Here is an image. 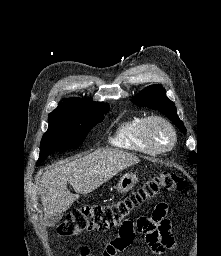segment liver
Here are the masks:
<instances>
[{"instance_id": "1", "label": "liver", "mask_w": 221, "mask_h": 256, "mask_svg": "<svg viewBox=\"0 0 221 256\" xmlns=\"http://www.w3.org/2000/svg\"><path fill=\"white\" fill-rule=\"evenodd\" d=\"M139 161L136 155L125 151L102 149L53 164L42 174L39 185L45 218L67 211L79 194L91 193L118 172ZM67 183L76 194L68 190Z\"/></svg>"}]
</instances>
